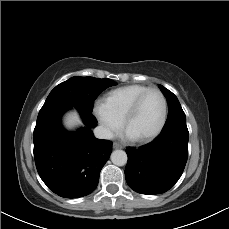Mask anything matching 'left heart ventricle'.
I'll return each mask as SVG.
<instances>
[{
	"instance_id": "1",
	"label": "left heart ventricle",
	"mask_w": 229,
	"mask_h": 229,
	"mask_svg": "<svg viewBox=\"0 0 229 229\" xmlns=\"http://www.w3.org/2000/svg\"><path fill=\"white\" fill-rule=\"evenodd\" d=\"M162 112L163 102L160 95L155 92L148 94L128 124L127 134L131 137H142L153 132L161 121Z\"/></svg>"
}]
</instances>
